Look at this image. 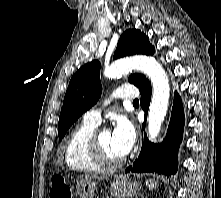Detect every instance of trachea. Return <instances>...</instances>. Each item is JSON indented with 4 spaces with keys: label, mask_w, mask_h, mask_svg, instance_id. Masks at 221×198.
Here are the masks:
<instances>
[{
    "label": "trachea",
    "mask_w": 221,
    "mask_h": 198,
    "mask_svg": "<svg viewBox=\"0 0 221 198\" xmlns=\"http://www.w3.org/2000/svg\"><path fill=\"white\" fill-rule=\"evenodd\" d=\"M138 103L139 101L137 99L133 101V104H138Z\"/></svg>",
    "instance_id": "trachea-1"
}]
</instances>
